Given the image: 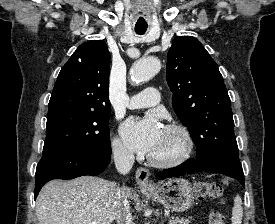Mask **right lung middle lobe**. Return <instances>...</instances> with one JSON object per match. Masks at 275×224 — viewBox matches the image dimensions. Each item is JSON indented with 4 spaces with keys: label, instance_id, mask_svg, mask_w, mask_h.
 Wrapping results in <instances>:
<instances>
[{
    "label": "right lung middle lobe",
    "instance_id": "1",
    "mask_svg": "<svg viewBox=\"0 0 275 224\" xmlns=\"http://www.w3.org/2000/svg\"><path fill=\"white\" fill-rule=\"evenodd\" d=\"M110 111L65 110L47 117L43 153L95 148L110 142Z\"/></svg>",
    "mask_w": 275,
    "mask_h": 224
}]
</instances>
